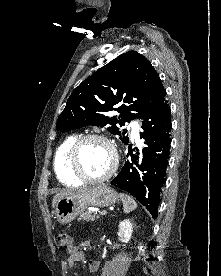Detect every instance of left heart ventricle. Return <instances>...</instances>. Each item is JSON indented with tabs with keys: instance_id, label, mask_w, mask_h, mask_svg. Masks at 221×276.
Returning a JSON list of instances; mask_svg holds the SVG:
<instances>
[{
	"instance_id": "b2bd125f",
	"label": "left heart ventricle",
	"mask_w": 221,
	"mask_h": 276,
	"mask_svg": "<svg viewBox=\"0 0 221 276\" xmlns=\"http://www.w3.org/2000/svg\"><path fill=\"white\" fill-rule=\"evenodd\" d=\"M82 170L90 177L103 175L112 165L110 148L101 141L91 140L83 144L79 152Z\"/></svg>"
}]
</instances>
